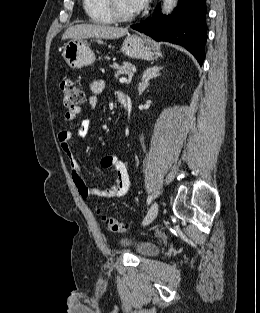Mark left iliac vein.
<instances>
[{
  "instance_id": "obj_1",
  "label": "left iliac vein",
  "mask_w": 260,
  "mask_h": 313,
  "mask_svg": "<svg viewBox=\"0 0 260 313\" xmlns=\"http://www.w3.org/2000/svg\"><path fill=\"white\" fill-rule=\"evenodd\" d=\"M158 209H159L158 203L154 202L151 205V207H150L148 213L146 214L145 218L143 219L142 224L144 226L150 224L156 218V216L158 214Z\"/></svg>"
}]
</instances>
